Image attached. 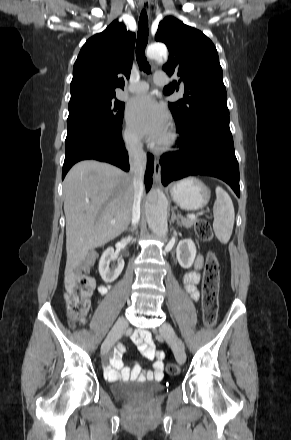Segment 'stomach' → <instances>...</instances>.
Listing matches in <instances>:
<instances>
[{
	"label": "stomach",
	"mask_w": 291,
	"mask_h": 440,
	"mask_svg": "<svg viewBox=\"0 0 291 440\" xmlns=\"http://www.w3.org/2000/svg\"><path fill=\"white\" fill-rule=\"evenodd\" d=\"M210 194L209 188L195 177L183 179L171 188L174 202L185 210L203 208L209 202Z\"/></svg>",
	"instance_id": "1"
}]
</instances>
